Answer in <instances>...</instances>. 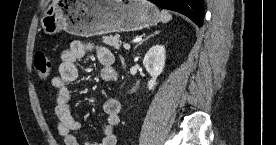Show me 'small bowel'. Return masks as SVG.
<instances>
[{
    "label": "small bowel",
    "instance_id": "1",
    "mask_svg": "<svg viewBox=\"0 0 276 145\" xmlns=\"http://www.w3.org/2000/svg\"><path fill=\"white\" fill-rule=\"evenodd\" d=\"M95 51L102 65L101 78L106 82H113L118 78V72L114 68L115 56L105 47H95L90 43L74 40L70 47L63 51L61 62L58 66V75L52 79V85L57 90L55 98V118L57 128L65 145H79L73 132L81 128V123L75 119L71 106V89L79 75L78 63L89 52ZM107 116L106 124L102 128V137L98 145H116L114 128L119 125L120 102L116 98H107L103 105ZM84 145H96L85 142Z\"/></svg>",
    "mask_w": 276,
    "mask_h": 145
}]
</instances>
